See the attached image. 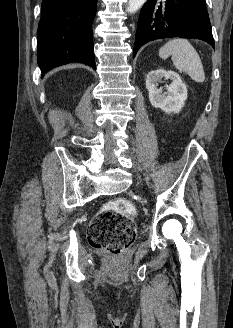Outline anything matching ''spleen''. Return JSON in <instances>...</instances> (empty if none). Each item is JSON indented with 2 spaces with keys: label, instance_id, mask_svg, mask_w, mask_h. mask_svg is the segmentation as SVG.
I'll list each match as a JSON object with an SVG mask.
<instances>
[{
  "label": "spleen",
  "instance_id": "spleen-1",
  "mask_svg": "<svg viewBox=\"0 0 233 328\" xmlns=\"http://www.w3.org/2000/svg\"><path fill=\"white\" fill-rule=\"evenodd\" d=\"M159 56L162 59L171 56L176 69L187 73L197 83L204 82L205 73L201 59L187 39L176 38L168 41L160 48Z\"/></svg>",
  "mask_w": 233,
  "mask_h": 328
}]
</instances>
